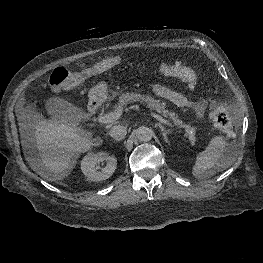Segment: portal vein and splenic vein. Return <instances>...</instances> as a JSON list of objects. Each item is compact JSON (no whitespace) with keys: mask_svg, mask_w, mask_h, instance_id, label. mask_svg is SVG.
Segmentation results:
<instances>
[{"mask_svg":"<svg viewBox=\"0 0 263 263\" xmlns=\"http://www.w3.org/2000/svg\"><path fill=\"white\" fill-rule=\"evenodd\" d=\"M122 111H123L122 108H120V109H117L113 112H109L105 115L99 116L97 118V122L100 124L111 123V122L120 118V116L122 115ZM150 115L152 117H154L155 119H157L158 121H160L161 123H164L168 126L174 127V125L172 123H170L168 120H165L162 116H160L156 113H153V112H150Z\"/></svg>","mask_w":263,"mask_h":263,"instance_id":"1","label":"portal vein and splenic vein"}]
</instances>
